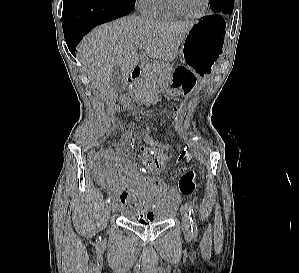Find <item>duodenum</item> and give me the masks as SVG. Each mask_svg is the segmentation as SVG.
I'll use <instances>...</instances> for the list:
<instances>
[{
  "label": "duodenum",
  "instance_id": "410a0bca",
  "mask_svg": "<svg viewBox=\"0 0 299 273\" xmlns=\"http://www.w3.org/2000/svg\"><path fill=\"white\" fill-rule=\"evenodd\" d=\"M142 74V68L140 66H134L129 75V90L133 92V88L137 80L140 78Z\"/></svg>",
  "mask_w": 299,
  "mask_h": 273
}]
</instances>
